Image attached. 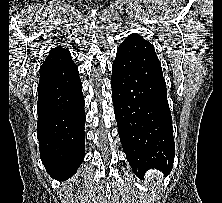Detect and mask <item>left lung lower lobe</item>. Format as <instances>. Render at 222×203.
I'll list each match as a JSON object with an SVG mask.
<instances>
[{"mask_svg": "<svg viewBox=\"0 0 222 203\" xmlns=\"http://www.w3.org/2000/svg\"><path fill=\"white\" fill-rule=\"evenodd\" d=\"M111 86L119 137L133 172L142 177L155 168L168 174L175 145L166 83L153 45L139 34L118 47Z\"/></svg>", "mask_w": 222, "mask_h": 203, "instance_id": "left-lung-lower-lobe-1", "label": "left lung lower lobe"}]
</instances>
